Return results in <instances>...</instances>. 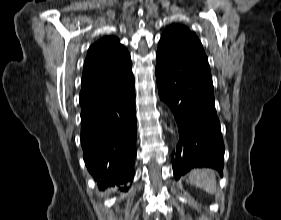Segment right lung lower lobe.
Wrapping results in <instances>:
<instances>
[{"label": "right lung lower lobe", "instance_id": "98d812e1", "mask_svg": "<svg viewBox=\"0 0 281 220\" xmlns=\"http://www.w3.org/2000/svg\"><path fill=\"white\" fill-rule=\"evenodd\" d=\"M80 105V138L88 171L100 188L128 185L136 157L134 78L118 89L81 98Z\"/></svg>", "mask_w": 281, "mask_h": 220}]
</instances>
